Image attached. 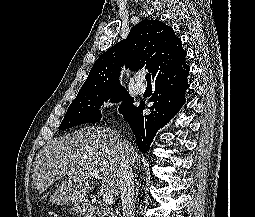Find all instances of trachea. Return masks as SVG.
<instances>
[{"mask_svg":"<svg viewBox=\"0 0 255 217\" xmlns=\"http://www.w3.org/2000/svg\"><path fill=\"white\" fill-rule=\"evenodd\" d=\"M145 79L148 84H151V74H146Z\"/></svg>","mask_w":255,"mask_h":217,"instance_id":"1","label":"trachea"}]
</instances>
